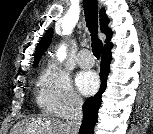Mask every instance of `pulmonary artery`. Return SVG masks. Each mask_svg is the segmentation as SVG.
Wrapping results in <instances>:
<instances>
[{"label":"pulmonary artery","mask_w":153,"mask_h":134,"mask_svg":"<svg viewBox=\"0 0 153 134\" xmlns=\"http://www.w3.org/2000/svg\"><path fill=\"white\" fill-rule=\"evenodd\" d=\"M77 61L83 68H90L95 63L94 57L88 49H83L78 53Z\"/></svg>","instance_id":"1"}]
</instances>
